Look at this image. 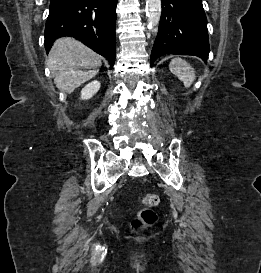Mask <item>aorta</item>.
<instances>
[{
  "instance_id": "aorta-1",
  "label": "aorta",
  "mask_w": 261,
  "mask_h": 273,
  "mask_svg": "<svg viewBox=\"0 0 261 273\" xmlns=\"http://www.w3.org/2000/svg\"><path fill=\"white\" fill-rule=\"evenodd\" d=\"M146 15L148 28L157 26L161 16V0H146Z\"/></svg>"
}]
</instances>
